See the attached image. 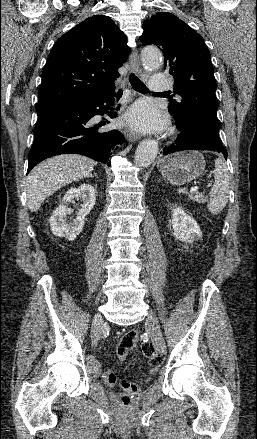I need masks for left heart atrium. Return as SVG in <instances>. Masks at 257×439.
I'll return each instance as SVG.
<instances>
[{
	"label": "left heart atrium",
	"instance_id": "39dd6f15",
	"mask_svg": "<svg viewBox=\"0 0 257 439\" xmlns=\"http://www.w3.org/2000/svg\"><path fill=\"white\" fill-rule=\"evenodd\" d=\"M128 125L139 131H160L166 126V118L159 109L150 102L134 105L126 114Z\"/></svg>",
	"mask_w": 257,
	"mask_h": 439
}]
</instances>
